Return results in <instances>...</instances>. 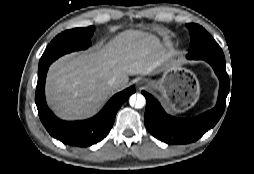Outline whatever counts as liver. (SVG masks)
<instances>
[{
    "label": "liver",
    "instance_id": "1",
    "mask_svg": "<svg viewBox=\"0 0 254 174\" xmlns=\"http://www.w3.org/2000/svg\"><path fill=\"white\" fill-rule=\"evenodd\" d=\"M171 61L169 52L153 34L126 30L104 47L67 54L55 61L46 81V99L64 120L92 116L113 90L123 89L130 75H150ZM119 80L117 87L109 79Z\"/></svg>",
    "mask_w": 254,
    "mask_h": 174
}]
</instances>
